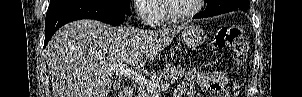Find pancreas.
Segmentation results:
<instances>
[{
	"mask_svg": "<svg viewBox=\"0 0 302 97\" xmlns=\"http://www.w3.org/2000/svg\"><path fill=\"white\" fill-rule=\"evenodd\" d=\"M185 70L182 67H175L173 65H165L157 74L150 78V81L159 84L164 80L176 82L178 79L182 78ZM151 92L142 85L137 87V97H151Z\"/></svg>",
	"mask_w": 302,
	"mask_h": 97,
	"instance_id": "1",
	"label": "pancreas"
}]
</instances>
